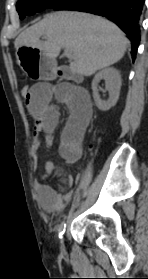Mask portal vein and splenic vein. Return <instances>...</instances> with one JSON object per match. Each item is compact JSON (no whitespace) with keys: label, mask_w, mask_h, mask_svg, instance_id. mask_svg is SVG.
Segmentation results:
<instances>
[{"label":"portal vein and splenic vein","mask_w":148,"mask_h":279,"mask_svg":"<svg viewBox=\"0 0 148 279\" xmlns=\"http://www.w3.org/2000/svg\"><path fill=\"white\" fill-rule=\"evenodd\" d=\"M64 55L69 58V59H73L74 58V54H73V50L72 49H68L66 48L64 50Z\"/></svg>","instance_id":"obj_1"}]
</instances>
